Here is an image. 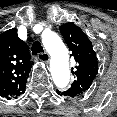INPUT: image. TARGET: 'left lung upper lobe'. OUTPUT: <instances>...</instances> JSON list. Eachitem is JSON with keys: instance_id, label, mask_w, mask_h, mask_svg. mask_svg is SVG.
Wrapping results in <instances>:
<instances>
[{"instance_id": "1", "label": "left lung upper lobe", "mask_w": 117, "mask_h": 117, "mask_svg": "<svg viewBox=\"0 0 117 117\" xmlns=\"http://www.w3.org/2000/svg\"><path fill=\"white\" fill-rule=\"evenodd\" d=\"M59 28L76 61L75 68H72L74 82L71 88L64 91L65 96L79 97L90 88L98 72V60L91 41L80 27L69 22Z\"/></svg>"}]
</instances>
